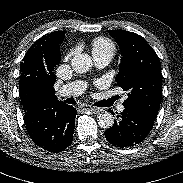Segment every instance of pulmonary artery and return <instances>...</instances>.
Listing matches in <instances>:
<instances>
[{
  "instance_id": "obj_1",
  "label": "pulmonary artery",
  "mask_w": 183,
  "mask_h": 183,
  "mask_svg": "<svg viewBox=\"0 0 183 183\" xmlns=\"http://www.w3.org/2000/svg\"><path fill=\"white\" fill-rule=\"evenodd\" d=\"M94 60L98 67H105L106 65L109 64V62L111 61V58L108 56H98V57H94ZM85 88H86V85L82 81L71 82L66 85H63L58 90V96L60 97L78 96L81 93H83ZM118 110L120 112L124 111V106L122 104L119 105Z\"/></svg>"
}]
</instances>
